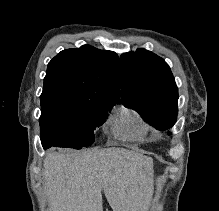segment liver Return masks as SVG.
Listing matches in <instances>:
<instances>
[{"label":"liver","instance_id":"1","mask_svg":"<svg viewBox=\"0 0 219 211\" xmlns=\"http://www.w3.org/2000/svg\"><path fill=\"white\" fill-rule=\"evenodd\" d=\"M151 157L124 147L49 151L42 189L52 211H103L102 189L113 211H147Z\"/></svg>","mask_w":219,"mask_h":211}]
</instances>
